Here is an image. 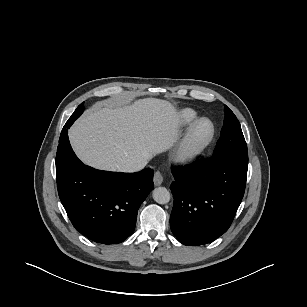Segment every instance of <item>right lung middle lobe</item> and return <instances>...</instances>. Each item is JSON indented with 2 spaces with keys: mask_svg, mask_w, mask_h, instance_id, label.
I'll return each instance as SVG.
<instances>
[{
  "mask_svg": "<svg viewBox=\"0 0 307 307\" xmlns=\"http://www.w3.org/2000/svg\"><path fill=\"white\" fill-rule=\"evenodd\" d=\"M83 104H80L78 108L75 110V112L71 115L69 120L66 122V127L69 128L73 122L82 114L83 112Z\"/></svg>",
  "mask_w": 307,
  "mask_h": 307,
  "instance_id": "1",
  "label": "right lung middle lobe"
}]
</instances>
